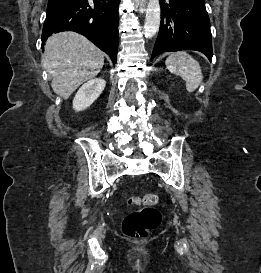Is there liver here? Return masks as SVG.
<instances>
[{
    "instance_id": "6515ba94",
    "label": "liver",
    "mask_w": 261,
    "mask_h": 273,
    "mask_svg": "<svg viewBox=\"0 0 261 273\" xmlns=\"http://www.w3.org/2000/svg\"><path fill=\"white\" fill-rule=\"evenodd\" d=\"M41 62L52 76L53 91L68 99L82 83L100 72L104 53L82 35L62 32L46 41Z\"/></svg>"
}]
</instances>
